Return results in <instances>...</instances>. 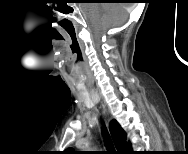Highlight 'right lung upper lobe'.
<instances>
[{"mask_svg":"<svg viewBox=\"0 0 188 154\" xmlns=\"http://www.w3.org/2000/svg\"><path fill=\"white\" fill-rule=\"evenodd\" d=\"M110 131H111V135L113 137L117 150L120 153H129L131 150V145L130 143H126V133L120 127V125L118 124L116 120H113L110 123ZM67 151L72 152L70 148L67 149Z\"/></svg>","mask_w":188,"mask_h":154,"instance_id":"cb5924a9","label":"right lung upper lobe"}]
</instances>
